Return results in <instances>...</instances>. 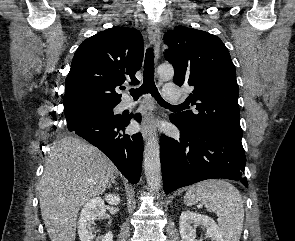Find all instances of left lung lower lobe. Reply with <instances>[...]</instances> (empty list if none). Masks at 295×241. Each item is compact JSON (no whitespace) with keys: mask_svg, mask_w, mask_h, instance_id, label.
<instances>
[{"mask_svg":"<svg viewBox=\"0 0 295 241\" xmlns=\"http://www.w3.org/2000/svg\"><path fill=\"white\" fill-rule=\"evenodd\" d=\"M170 121L179 128L180 139L161 136L160 161L166 194L213 178L238 180L248 187L243 175L246 157L241 140L211 131H185L173 115Z\"/></svg>","mask_w":295,"mask_h":241,"instance_id":"left-lung-lower-lobe-1","label":"left lung lower lobe"}]
</instances>
